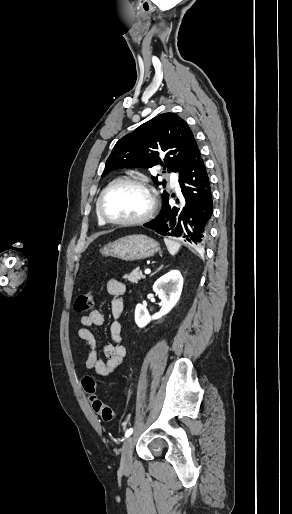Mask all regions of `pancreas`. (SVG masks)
<instances>
[{
    "label": "pancreas",
    "instance_id": "obj_1",
    "mask_svg": "<svg viewBox=\"0 0 292 514\" xmlns=\"http://www.w3.org/2000/svg\"><path fill=\"white\" fill-rule=\"evenodd\" d=\"M123 278H125V280H129V282H132V284H137V282H139V280H141V278H145V276H143L141 270H139V268H136V270H133V272H131V274H125V276H123Z\"/></svg>",
    "mask_w": 292,
    "mask_h": 514
}]
</instances>
